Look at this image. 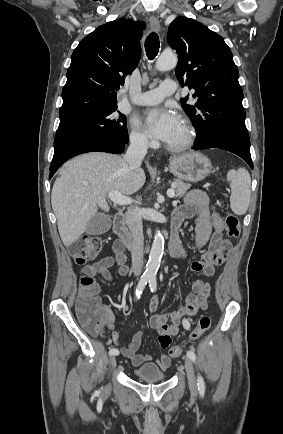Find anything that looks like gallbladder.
<instances>
[{"label":"gallbladder","mask_w":283,"mask_h":434,"mask_svg":"<svg viewBox=\"0 0 283 434\" xmlns=\"http://www.w3.org/2000/svg\"><path fill=\"white\" fill-rule=\"evenodd\" d=\"M112 221L109 215L98 213L86 226V233L90 235H101L111 227Z\"/></svg>","instance_id":"obj_1"}]
</instances>
